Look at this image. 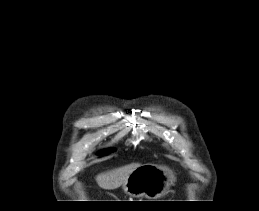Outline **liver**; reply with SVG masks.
Masks as SVG:
<instances>
[{
	"instance_id": "liver-1",
	"label": "liver",
	"mask_w": 259,
	"mask_h": 211,
	"mask_svg": "<svg viewBox=\"0 0 259 211\" xmlns=\"http://www.w3.org/2000/svg\"><path fill=\"white\" fill-rule=\"evenodd\" d=\"M141 164L132 163L126 166L101 173L96 176V182L99 187L106 190H113L122 186L128 179L129 175Z\"/></svg>"
}]
</instances>
